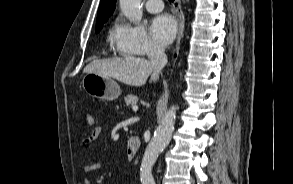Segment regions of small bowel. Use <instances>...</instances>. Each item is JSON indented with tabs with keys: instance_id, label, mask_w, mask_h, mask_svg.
I'll return each mask as SVG.
<instances>
[{
	"instance_id": "small-bowel-1",
	"label": "small bowel",
	"mask_w": 293,
	"mask_h": 184,
	"mask_svg": "<svg viewBox=\"0 0 293 184\" xmlns=\"http://www.w3.org/2000/svg\"><path fill=\"white\" fill-rule=\"evenodd\" d=\"M102 128L100 126H95L91 131L90 135L83 140L84 146H91L94 142H96L101 136ZM100 168V164L96 161H90L81 166V172L84 175L88 173L97 171ZM79 184H92V182L85 176L82 180L78 181Z\"/></svg>"
}]
</instances>
